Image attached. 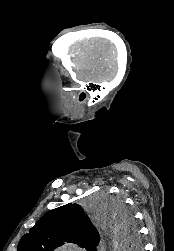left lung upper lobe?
I'll return each instance as SVG.
<instances>
[{
  "label": "left lung upper lobe",
  "instance_id": "obj_1",
  "mask_svg": "<svg viewBox=\"0 0 174 251\" xmlns=\"http://www.w3.org/2000/svg\"><path fill=\"white\" fill-rule=\"evenodd\" d=\"M107 217L115 224L118 237L140 249L133 216L121 201H105ZM100 236L78 204H66L42 216L18 243L17 251H53L58 246L75 243L87 251H96Z\"/></svg>",
  "mask_w": 174,
  "mask_h": 251
}]
</instances>
